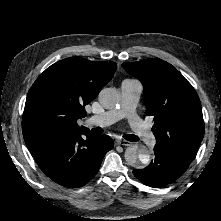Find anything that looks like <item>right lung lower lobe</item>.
Segmentation results:
<instances>
[{"label":"right lung lower lobe","instance_id":"98d812e1","mask_svg":"<svg viewBox=\"0 0 221 221\" xmlns=\"http://www.w3.org/2000/svg\"><path fill=\"white\" fill-rule=\"evenodd\" d=\"M113 146L109 136L84 129L31 152L40 169L54 182L79 188L96 175Z\"/></svg>","mask_w":221,"mask_h":221}]
</instances>
